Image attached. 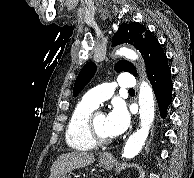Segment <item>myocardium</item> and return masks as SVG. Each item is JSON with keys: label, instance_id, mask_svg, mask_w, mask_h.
I'll return each instance as SVG.
<instances>
[{"label": "myocardium", "instance_id": "f54148a6", "mask_svg": "<svg viewBox=\"0 0 194 178\" xmlns=\"http://www.w3.org/2000/svg\"><path fill=\"white\" fill-rule=\"evenodd\" d=\"M99 113H102L100 110H94L88 117L87 125H88V130L90 133V136L92 140L95 142L96 145H106L111 142L110 137H105L102 136L96 126H95V116Z\"/></svg>", "mask_w": 194, "mask_h": 178}]
</instances>
